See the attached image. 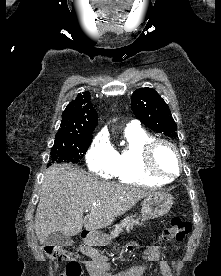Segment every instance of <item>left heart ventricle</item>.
<instances>
[{
  "label": "left heart ventricle",
  "instance_id": "left-heart-ventricle-1",
  "mask_svg": "<svg viewBox=\"0 0 221 276\" xmlns=\"http://www.w3.org/2000/svg\"><path fill=\"white\" fill-rule=\"evenodd\" d=\"M155 164L161 172L166 174L175 173L178 167L175 154L165 145L157 148L155 152Z\"/></svg>",
  "mask_w": 221,
  "mask_h": 276
}]
</instances>
